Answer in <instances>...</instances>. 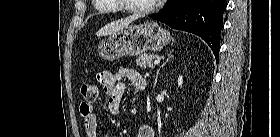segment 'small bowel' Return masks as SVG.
<instances>
[{
    "instance_id": "obj_1",
    "label": "small bowel",
    "mask_w": 280,
    "mask_h": 137,
    "mask_svg": "<svg viewBox=\"0 0 280 137\" xmlns=\"http://www.w3.org/2000/svg\"><path fill=\"white\" fill-rule=\"evenodd\" d=\"M98 82L103 86L104 93L108 97V110L113 116L121 112V101L126 89V82H130L136 90H144L146 81L140 73L129 67H121L116 72H103L97 77ZM80 112L84 117L85 131L87 137H97L98 119L94 112L93 105L83 102L80 105ZM138 137H153V129L149 125H143L139 129Z\"/></svg>"
}]
</instances>
